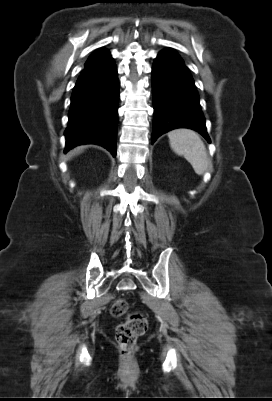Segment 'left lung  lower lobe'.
Returning a JSON list of instances; mask_svg holds the SVG:
<instances>
[{"label": "left lung lower lobe", "mask_w": 272, "mask_h": 401, "mask_svg": "<svg viewBox=\"0 0 272 401\" xmlns=\"http://www.w3.org/2000/svg\"><path fill=\"white\" fill-rule=\"evenodd\" d=\"M152 92V143L160 135L176 128L193 129L210 143L192 76L172 49L162 50L154 61Z\"/></svg>", "instance_id": "1"}]
</instances>
